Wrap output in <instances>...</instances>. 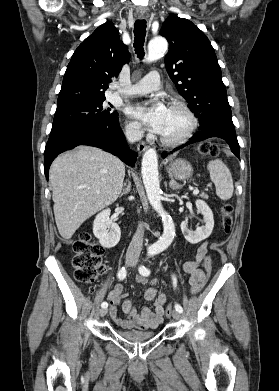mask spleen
Here are the masks:
<instances>
[{"label":"spleen","instance_id":"3e777b00","mask_svg":"<svg viewBox=\"0 0 279 391\" xmlns=\"http://www.w3.org/2000/svg\"><path fill=\"white\" fill-rule=\"evenodd\" d=\"M207 169L212 182L215 184L217 196L222 200L230 199L233 195L234 186L228 167L222 160L216 159L209 161Z\"/></svg>","mask_w":279,"mask_h":391}]
</instances>
